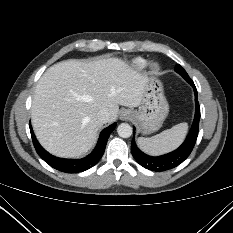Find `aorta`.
Wrapping results in <instances>:
<instances>
[{
  "label": "aorta",
  "instance_id": "obj_1",
  "mask_svg": "<svg viewBox=\"0 0 233 233\" xmlns=\"http://www.w3.org/2000/svg\"><path fill=\"white\" fill-rule=\"evenodd\" d=\"M118 135L122 138H129L132 135V127L127 123H121L117 128Z\"/></svg>",
  "mask_w": 233,
  "mask_h": 233
}]
</instances>
